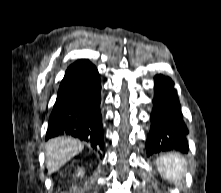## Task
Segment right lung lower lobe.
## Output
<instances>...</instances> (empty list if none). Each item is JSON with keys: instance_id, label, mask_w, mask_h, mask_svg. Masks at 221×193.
I'll use <instances>...</instances> for the list:
<instances>
[{"instance_id": "right-lung-lower-lobe-1", "label": "right lung lower lobe", "mask_w": 221, "mask_h": 193, "mask_svg": "<svg viewBox=\"0 0 221 193\" xmlns=\"http://www.w3.org/2000/svg\"><path fill=\"white\" fill-rule=\"evenodd\" d=\"M101 81L96 67L88 62L60 85L50 115L46 140L70 135L103 149V125L100 110Z\"/></svg>"}]
</instances>
